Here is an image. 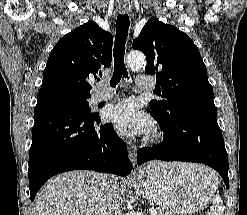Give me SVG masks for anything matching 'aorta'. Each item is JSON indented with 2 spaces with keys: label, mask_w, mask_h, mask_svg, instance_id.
I'll list each match as a JSON object with an SVG mask.
<instances>
[{
  "label": "aorta",
  "mask_w": 247,
  "mask_h": 215,
  "mask_svg": "<svg viewBox=\"0 0 247 215\" xmlns=\"http://www.w3.org/2000/svg\"><path fill=\"white\" fill-rule=\"evenodd\" d=\"M146 63V57L143 53L132 51L127 56V64L132 69L142 68Z\"/></svg>",
  "instance_id": "aorta-1"
}]
</instances>
